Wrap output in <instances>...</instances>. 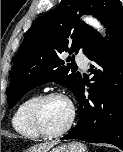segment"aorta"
Returning <instances> with one entry per match:
<instances>
[{
    "mask_svg": "<svg viewBox=\"0 0 123 152\" xmlns=\"http://www.w3.org/2000/svg\"><path fill=\"white\" fill-rule=\"evenodd\" d=\"M85 22L88 23L89 25L93 26L94 28H96L98 31H102V26L101 24L94 18L91 17H86L84 18Z\"/></svg>",
    "mask_w": 123,
    "mask_h": 152,
    "instance_id": "1",
    "label": "aorta"
}]
</instances>
